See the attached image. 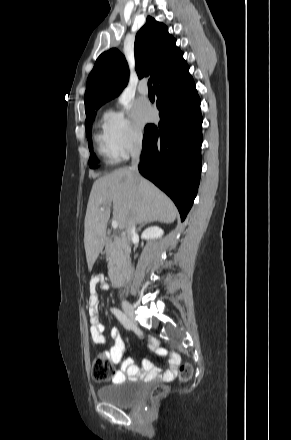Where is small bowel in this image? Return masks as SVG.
Masks as SVG:
<instances>
[{
	"mask_svg": "<svg viewBox=\"0 0 291 440\" xmlns=\"http://www.w3.org/2000/svg\"><path fill=\"white\" fill-rule=\"evenodd\" d=\"M98 287L101 289H106L108 287L101 275L94 276L89 282L90 295L88 298V306L91 322V338L96 345H102L105 343V336L104 326L101 323L98 315ZM111 338L113 340V346L109 351H101V353L108 359L110 363L118 364L125 355L124 340L117 329H112ZM148 349L158 352L162 357H166V361L168 363V369L166 371H162L149 360H144L142 363V369H140L137 365H135L131 358H127L123 361L121 369L113 373V382L121 381L126 377H129L132 380H136L141 377L145 380H150L160 375L165 379H168L177 374L181 364V358L177 353H168L166 350L159 348L156 339H151L148 344Z\"/></svg>",
	"mask_w": 291,
	"mask_h": 440,
	"instance_id": "obj_1",
	"label": "small bowel"
}]
</instances>
